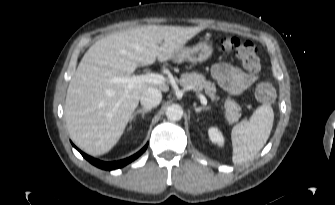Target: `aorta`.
Segmentation results:
<instances>
[{"label":"aorta","mask_w":335,"mask_h":205,"mask_svg":"<svg viewBox=\"0 0 335 205\" xmlns=\"http://www.w3.org/2000/svg\"><path fill=\"white\" fill-rule=\"evenodd\" d=\"M183 116V109L178 104H172L166 109V117L171 121H178Z\"/></svg>","instance_id":"obj_1"}]
</instances>
